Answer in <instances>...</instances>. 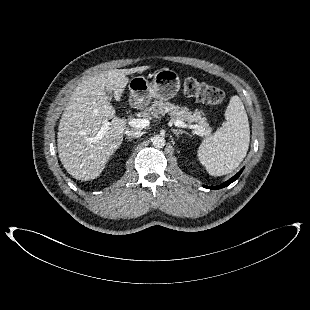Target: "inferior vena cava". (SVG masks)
Wrapping results in <instances>:
<instances>
[{
	"mask_svg": "<svg viewBox=\"0 0 310 310\" xmlns=\"http://www.w3.org/2000/svg\"><path fill=\"white\" fill-rule=\"evenodd\" d=\"M125 134L127 136H131L132 138L133 137L139 138L143 135V132L139 131V130H135V129H127V130H125Z\"/></svg>",
	"mask_w": 310,
	"mask_h": 310,
	"instance_id": "1",
	"label": "inferior vena cava"
}]
</instances>
